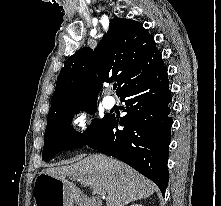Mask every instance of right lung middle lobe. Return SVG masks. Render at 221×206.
<instances>
[{"label": "right lung middle lobe", "instance_id": "obj_1", "mask_svg": "<svg viewBox=\"0 0 221 206\" xmlns=\"http://www.w3.org/2000/svg\"><path fill=\"white\" fill-rule=\"evenodd\" d=\"M80 110L94 114L96 112V103H82L61 108L48 115L44 135L43 160L51 159L60 151L85 146L110 118V115H105L102 119L95 118L82 134L77 133L72 128L71 122L73 116L79 113Z\"/></svg>", "mask_w": 221, "mask_h": 206}]
</instances>
